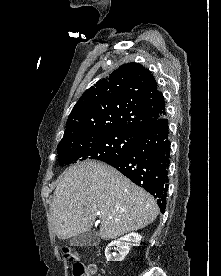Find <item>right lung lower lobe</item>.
<instances>
[{"label": "right lung lower lobe", "instance_id": "right-lung-lower-lobe-1", "mask_svg": "<svg viewBox=\"0 0 221 276\" xmlns=\"http://www.w3.org/2000/svg\"><path fill=\"white\" fill-rule=\"evenodd\" d=\"M168 120L158 119L145 133L137 136L132 149L106 161L157 199L162 213L166 208L170 141Z\"/></svg>", "mask_w": 221, "mask_h": 276}]
</instances>
